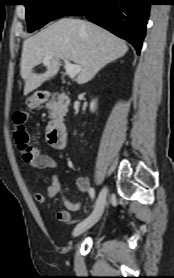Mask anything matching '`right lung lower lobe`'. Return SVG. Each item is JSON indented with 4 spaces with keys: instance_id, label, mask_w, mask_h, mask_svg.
I'll list each match as a JSON object with an SVG mask.
<instances>
[{
    "instance_id": "obj_1",
    "label": "right lung lower lobe",
    "mask_w": 174,
    "mask_h": 278,
    "mask_svg": "<svg viewBox=\"0 0 174 278\" xmlns=\"http://www.w3.org/2000/svg\"><path fill=\"white\" fill-rule=\"evenodd\" d=\"M149 0H79L65 15H85L130 42L139 54L149 17Z\"/></svg>"
}]
</instances>
